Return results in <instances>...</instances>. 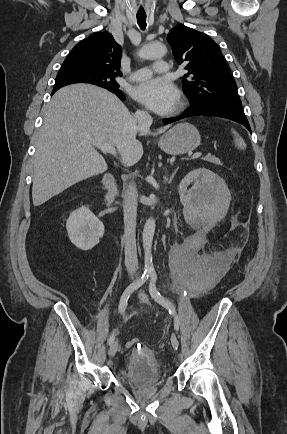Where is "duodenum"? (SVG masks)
Listing matches in <instances>:
<instances>
[{"instance_id":"duodenum-1","label":"duodenum","mask_w":287,"mask_h":434,"mask_svg":"<svg viewBox=\"0 0 287 434\" xmlns=\"http://www.w3.org/2000/svg\"><path fill=\"white\" fill-rule=\"evenodd\" d=\"M103 182L107 190L106 195L104 197V206L106 208H109L117 194L116 182L113 176H108L104 178Z\"/></svg>"}]
</instances>
